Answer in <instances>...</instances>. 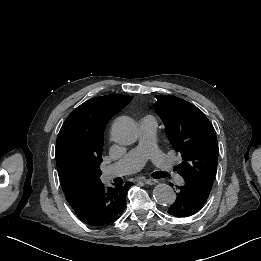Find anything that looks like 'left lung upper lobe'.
I'll return each mask as SVG.
<instances>
[{
    "mask_svg": "<svg viewBox=\"0 0 261 261\" xmlns=\"http://www.w3.org/2000/svg\"><path fill=\"white\" fill-rule=\"evenodd\" d=\"M154 107L166 126L167 136L183 161L176 169L212 187L219 148L215 130L204 113L174 96H156Z\"/></svg>",
    "mask_w": 261,
    "mask_h": 261,
    "instance_id": "1",
    "label": "left lung upper lobe"
}]
</instances>
